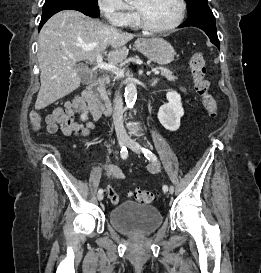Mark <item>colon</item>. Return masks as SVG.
<instances>
[{"label":"colon","mask_w":261,"mask_h":273,"mask_svg":"<svg viewBox=\"0 0 261 273\" xmlns=\"http://www.w3.org/2000/svg\"><path fill=\"white\" fill-rule=\"evenodd\" d=\"M190 68L196 94L201 98L203 106L209 115L213 118L216 117L217 102L209 92V81L206 78V60L201 51L196 50L192 53L190 58ZM31 121L36 129L40 127L41 118L39 114L32 113ZM133 195L138 202L145 204L153 202L156 198V193L143 189H135Z\"/></svg>","instance_id":"colon-1"}]
</instances>
